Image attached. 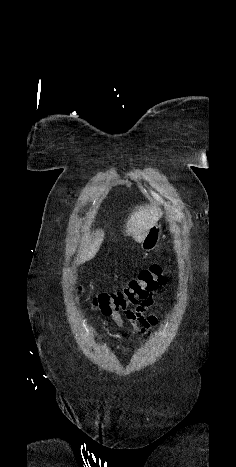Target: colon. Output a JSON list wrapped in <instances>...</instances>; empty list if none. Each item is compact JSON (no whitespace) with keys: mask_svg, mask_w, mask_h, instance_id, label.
Returning <instances> with one entry per match:
<instances>
[{"mask_svg":"<svg viewBox=\"0 0 236 467\" xmlns=\"http://www.w3.org/2000/svg\"><path fill=\"white\" fill-rule=\"evenodd\" d=\"M165 280L163 266L153 264L143 269L138 277L131 280L123 289L99 293L94 296L93 302L103 315L118 313L130 305H136L147 299L156 289L164 285Z\"/></svg>","mask_w":236,"mask_h":467,"instance_id":"5ec220e1","label":"colon"}]
</instances>
